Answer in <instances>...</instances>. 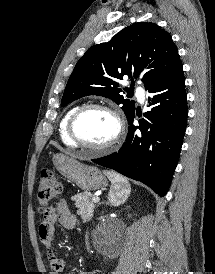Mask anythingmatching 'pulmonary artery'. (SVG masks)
Returning <instances> with one entry per match:
<instances>
[{
    "mask_svg": "<svg viewBox=\"0 0 215 274\" xmlns=\"http://www.w3.org/2000/svg\"><path fill=\"white\" fill-rule=\"evenodd\" d=\"M137 97L140 100V102H144L145 100V91L142 87H138L136 89Z\"/></svg>",
    "mask_w": 215,
    "mask_h": 274,
    "instance_id": "pulmonary-artery-1",
    "label": "pulmonary artery"
}]
</instances>
